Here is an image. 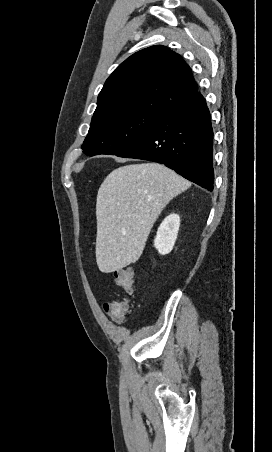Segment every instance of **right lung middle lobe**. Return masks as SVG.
Masks as SVG:
<instances>
[{
	"mask_svg": "<svg viewBox=\"0 0 272 452\" xmlns=\"http://www.w3.org/2000/svg\"><path fill=\"white\" fill-rule=\"evenodd\" d=\"M162 113L128 110L92 119L82 145L84 154L118 155L138 140Z\"/></svg>",
	"mask_w": 272,
	"mask_h": 452,
	"instance_id": "1",
	"label": "right lung middle lobe"
}]
</instances>
